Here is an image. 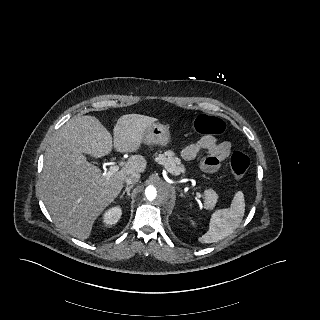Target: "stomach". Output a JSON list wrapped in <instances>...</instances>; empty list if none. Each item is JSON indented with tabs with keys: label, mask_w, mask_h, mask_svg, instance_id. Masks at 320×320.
Returning <instances> with one entry per match:
<instances>
[{
	"label": "stomach",
	"mask_w": 320,
	"mask_h": 320,
	"mask_svg": "<svg viewBox=\"0 0 320 320\" xmlns=\"http://www.w3.org/2000/svg\"><path fill=\"white\" fill-rule=\"evenodd\" d=\"M143 142L148 145L168 146L171 143L169 128L160 123H152L143 132Z\"/></svg>",
	"instance_id": "obj_1"
}]
</instances>
